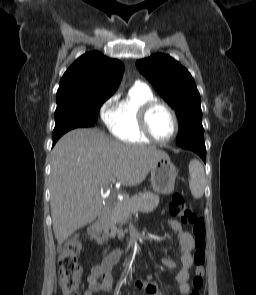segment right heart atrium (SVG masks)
<instances>
[{"mask_svg":"<svg viewBox=\"0 0 256 295\" xmlns=\"http://www.w3.org/2000/svg\"><path fill=\"white\" fill-rule=\"evenodd\" d=\"M114 101H115V97H112L106 102H104L100 108V114L105 122L107 121L108 115L111 111V105L113 104Z\"/></svg>","mask_w":256,"mask_h":295,"instance_id":"1","label":"right heart atrium"}]
</instances>
